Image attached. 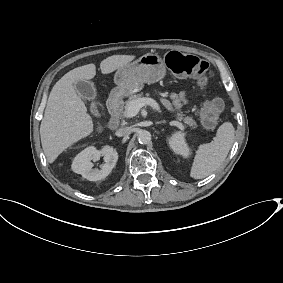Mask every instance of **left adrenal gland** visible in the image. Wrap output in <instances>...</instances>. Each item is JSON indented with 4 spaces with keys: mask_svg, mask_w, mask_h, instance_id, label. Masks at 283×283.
Segmentation results:
<instances>
[{
    "mask_svg": "<svg viewBox=\"0 0 283 283\" xmlns=\"http://www.w3.org/2000/svg\"><path fill=\"white\" fill-rule=\"evenodd\" d=\"M155 124H156V125L167 124V122L164 120V121L156 122Z\"/></svg>",
    "mask_w": 283,
    "mask_h": 283,
    "instance_id": "obj_1",
    "label": "left adrenal gland"
}]
</instances>
